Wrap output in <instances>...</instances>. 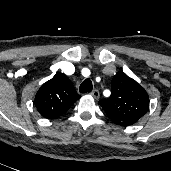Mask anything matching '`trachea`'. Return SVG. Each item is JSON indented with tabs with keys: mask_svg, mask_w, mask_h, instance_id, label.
Returning a JSON list of instances; mask_svg holds the SVG:
<instances>
[{
	"mask_svg": "<svg viewBox=\"0 0 171 171\" xmlns=\"http://www.w3.org/2000/svg\"><path fill=\"white\" fill-rule=\"evenodd\" d=\"M93 89V84L90 79H85L79 87V92H91Z\"/></svg>",
	"mask_w": 171,
	"mask_h": 171,
	"instance_id": "1",
	"label": "trachea"
}]
</instances>
